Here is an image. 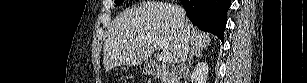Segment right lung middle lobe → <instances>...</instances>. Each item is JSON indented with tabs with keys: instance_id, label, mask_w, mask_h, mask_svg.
Segmentation results:
<instances>
[{
	"instance_id": "1",
	"label": "right lung middle lobe",
	"mask_w": 307,
	"mask_h": 83,
	"mask_svg": "<svg viewBox=\"0 0 307 83\" xmlns=\"http://www.w3.org/2000/svg\"><path fill=\"white\" fill-rule=\"evenodd\" d=\"M123 1H124V0H116V1H115V4H116V5H120Z\"/></svg>"
}]
</instances>
